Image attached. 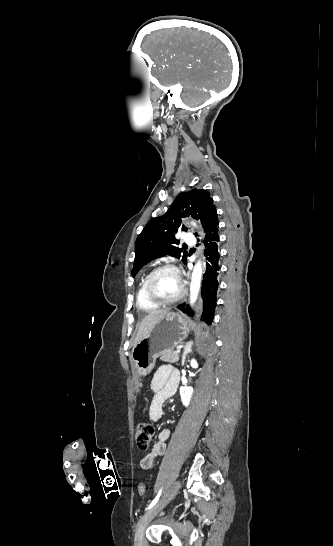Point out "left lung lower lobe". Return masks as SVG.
I'll return each instance as SVG.
<instances>
[{
	"label": "left lung lower lobe",
	"mask_w": 333,
	"mask_h": 546,
	"mask_svg": "<svg viewBox=\"0 0 333 546\" xmlns=\"http://www.w3.org/2000/svg\"><path fill=\"white\" fill-rule=\"evenodd\" d=\"M218 215L216 214L208 226L204 229L205 232V273L203 275L201 295L203 299V311L201 319L207 324H211L214 318V311L217 302L218 291V275H219V258L218 252ZM178 309L192 316L193 311L189 306L185 307V303L178 306Z\"/></svg>",
	"instance_id": "left-lung-lower-lobe-1"
}]
</instances>
